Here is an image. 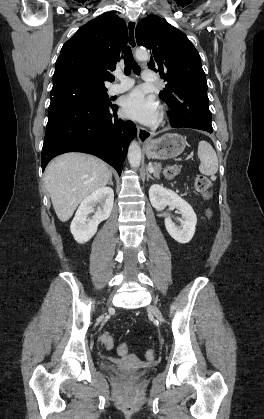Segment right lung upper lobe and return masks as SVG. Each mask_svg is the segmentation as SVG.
<instances>
[{
  "label": "right lung upper lobe",
  "instance_id": "right-lung-upper-lobe-1",
  "mask_svg": "<svg viewBox=\"0 0 264 419\" xmlns=\"http://www.w3.org/2000/svg\"><path fill=\"white\" fill-rule=\"evenodd\" d=\"M127 44V26L113 13L89 21L62 47L51 95L71 89H106Z\"/></svg>",
  "mask_w": 264,
  "mask_h": 419
}]
</instances>
